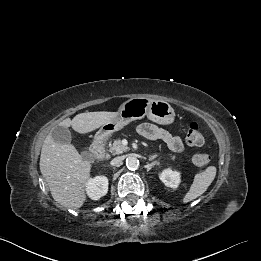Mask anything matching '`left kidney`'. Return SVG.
I'll use <instances>...</instances> for the list:
<instances>
[{"label":"left kidney","instance_id":"1","mask_svg":"<svg viewBox=\"0 0 261 261\" xmlns=\"http://www.w3.org/2000/svg\"><path fill=\"white\" fill-rule=\"evenodd\" d=\"M160 180L167 186L176 189L180 184V173L171 169L163 170L159 175Z\"/></svg>","mask_w":261,"mask_h":261}]
</instances>
